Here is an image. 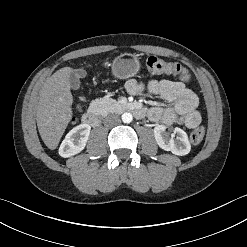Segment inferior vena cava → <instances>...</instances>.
Segmentation results:
<instances>
[{"mask_svg":"<svg viewBox=\"0 0 247 247\" xmlns=\"http://www.w3.org/2000/svg\"><path fill=\"white\" fill-rule=\"evenodd\" d=\"M120 123V118L118 115H108L107 117H105L104 119V124L106 126H114Z\"/></svg>","mask_w":247,"mask_h":247,"instance_id":"1","label":"inferior vena cava"}]
</instances>
